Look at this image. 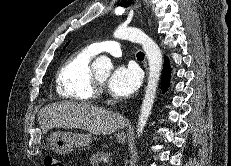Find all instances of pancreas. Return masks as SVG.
I'll return each instance as SVG.
<instances>
[{
    "label": "pancreas",
    "mask_w": 231,
    "mask_h": 166,
    "mask_svg": "<svg viewBox=\"0 0 231 166\" xmlns=\"http://www.w3.org/2000/svg\"><path fill=\"white\" fill-rule=\"evenodd\" d=\"M109 153L105 152H97L90 157L91 166H99V164L103 161L104 158H108Z\"/></svg>",
    "instance_id": "pancreas-1"
}]
</instances>
